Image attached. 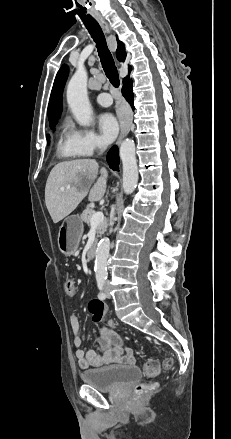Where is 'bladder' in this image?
<instances>
[{
    "label": "bladder",
    "mask_w": 231,
    "mask_h": 439,
    "mask_svg": "<svg viewBox=\"0 0 231 439\" xmlns=\"http://www.w3.org/2000/svg\"><path fill=\"white\" fill-rule=\"evenodd\" d=\"M136 366H108L89 369L80 373L81 381L101 391H115L140 378Z\"/></svg>",
    "instance_id": "obj_1"
}]
</instances>
